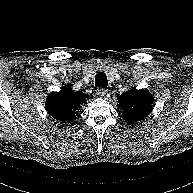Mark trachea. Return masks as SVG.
Returning a JSON list of instances; mask_svg holds the SVG:
<instances>
[{"mask_svg":"<svg viewBox=\"0 0 193 193\" xmlns=\"http://www.w3.org/2000/svg\"><path fill=\"white\" fill-rule=\"evenodd\" d=\"M107 76L103 72H99L95 76V85L97 87L106 88L107 87Z\"/></svg>","mask_w":193,"mask_h":193,"instance_id":"3493384b","label":"trachea"}]
</instances>
